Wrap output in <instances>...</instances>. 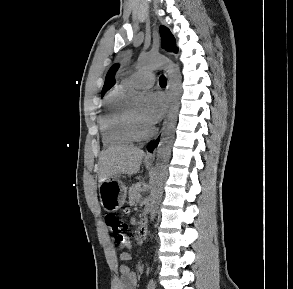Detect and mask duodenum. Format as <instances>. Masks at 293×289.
<instances>
[{"instance_id": "410a0bca", "label": "duodenum", "mask_w": 293, "mask_h": 289, "mask_svg": "<svg viewBox=\"0 0 293 289\" xmlns=\"http://www.w3.org/2000/svg\"><path fill=\"white\" fill-rule=\"evenodd\" d=\"M147 229H148L147 220L142 219L139 225V230H138L139 238L143 239L147 236V231H148Z\"/></svg>"}]
</instances>
